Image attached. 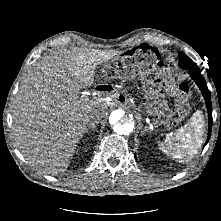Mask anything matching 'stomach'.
Here are the masks:
<instances>
[{"label": "stomach", "instance_id": "obj_1", "mask_svg": "<svg viewBox=\"0 0 221 221\" xmlns=\"http://www.w3.org/2000/svg\"><path fill=\"white\" fill-rule=\"evenodd\" d=\"M170 88L169 62L164 57H157L152 62V68L143 77L142 90L147 100V109L158 126H175L180 121L179 112L169 109L165 101Z\"/></svg>", "mask_w": 221, "mask_h": 221}]
</instances>
